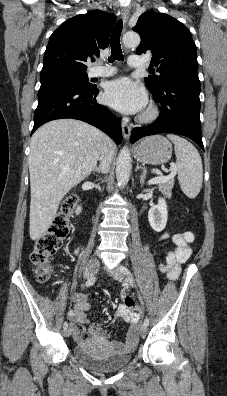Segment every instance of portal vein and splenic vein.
I'll return each mask as SVG.
<instances>
[{
    "instance_id": "portal-vein-and-splenic-vein-1",
    "label": "portal vein and splenic vein",
    "mask_w": 227,
    "mask_h": 396,
    "mask_svg": "<svg viewBox=\"0 0 227 396\" xmlns=\"http://www.w3.org/2000/svg\"><path fill=\"white\" fill-rule=\"evenodd\" d=\"M177 174V168L175 165L171 166V172L169 175L164 176L162 173H159V176L152 178L151 180H149V184H158L161 182H165L168 179L174 178Z\"/></svg>"
}]
</instances>
